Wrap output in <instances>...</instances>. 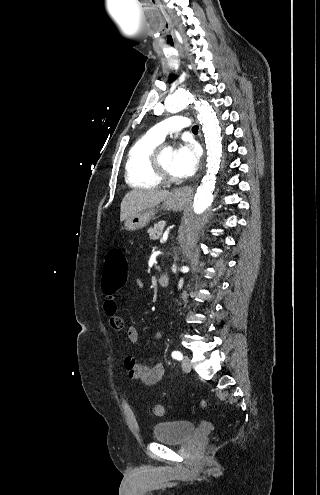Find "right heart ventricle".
<instances>
[{
	"mask_svg": "<svg viewBox=\"0 0 320 495\" xmlns=\"http://www.w3.org/2000/svg\"><path fill=\"white\" fill-rule=\"evenodd\" d=\"M160 143V140L146 133L129 148L125 161V179L131 187L153 189L159 186L161 181L154 174L150 159Z\"/></svg>",
	"mask_w": 320,
	"mask_h": 495,
	"instance_id": "1",
	"label": "right heart ventricle"
}]
</instances>
